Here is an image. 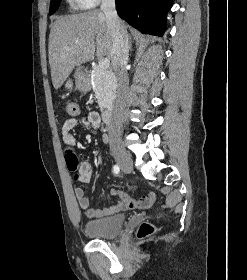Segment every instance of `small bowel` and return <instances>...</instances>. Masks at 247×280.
<instances>
[{
  "label": "small bowel",
  "mask_w": 247,
  "mask_h": 280,
  "mask_svg": "<svg viewBox=\"0 0 247 280\" xmlns=\"http://www.w3.org/2000/svg\"><path fill=\"white\" fill-rule=\"evenodd\" d=\"M81 125L89 131L97 130L101 125V118L95 111L86 112L80 116H73L65 120L62 127V139L67 148H73L76 145V139L72 131ZM78 181L89 183L93 176V167L90 162H82L77 170ZM111 194L116 196L119 201L112 206L103 209L90 208L89 199L83 188L75 189V196L79 206L85 211L89 219H98L117 214L133 208H146L152 205L155 199L154 194L142 197L139 200L132 198L127 192L121 190H112Z\"/></svg>",
  "instance_id": "1"
}]
</instances>
